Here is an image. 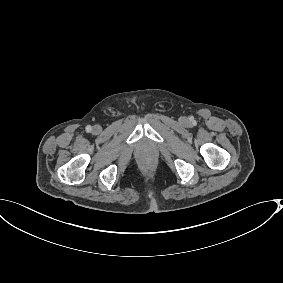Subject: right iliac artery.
Masks as SVG:
<instances>
[{
  "mask_svg": "<svg viewBox=\"0 0 283 283\" xmlns=\"http://www.w3.org/2000/svg\"><path fill=\"white\" fill-rule=\"evenodd\" d=\"M92 130V127L90 126V125H88L87 127H86V131L87 132H90Z\"/></svg>",
  "mask_w": 283,
  "mask_h": 283,
  "instance_id": "obj_1",
  "label": "right iliac artery"
}]
</instances>
